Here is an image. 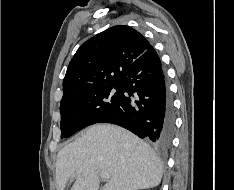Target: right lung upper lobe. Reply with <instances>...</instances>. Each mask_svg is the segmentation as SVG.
Here are the masks:
<instances>
[{"mask_svg": "<svg viewBox=\"0 0 234 190\" xmlns=\"http://www.w3.org/2000/svg\"><path fill=\"white\" fill-rule=\"evenodd\" d=\"M149 47L135 29L117 25L86 41L69 63L61 102L81 93L117 84L125 70Z\"/></svg>", "mask_w": 234, "mask_h": 190, "instance_id": "cb5924a9", "label": "right lung upper lobe"}]
</instances>
